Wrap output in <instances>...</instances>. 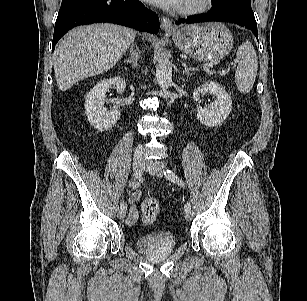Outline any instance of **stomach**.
<instances>
[{
	"instance_id": "0dacf381",
	"label": "stomach",
	"mask_w": 307,
	"mask_h": 301,
	"mask_svg": "<svg viewBox=\"0 0 307 301\" xmlns=\"http://www.w3.org/2000/svg\"><path fill=\"white\" fill-rule=\"evenodd\" d=\"M175 45L199 61H217L233 47V36L222 23L192 24L171 31Z\"/></svg>"
}]
</instances>
